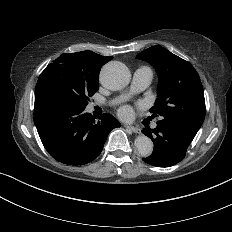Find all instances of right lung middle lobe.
Here are the masks:
<instances>
[{
	"instance_id": "dd1d6c3e",
	"label": "right lung middle lobe",
	"mask_w": 232,
	"mask_h": 232,
	"mask_svg": "<svg viewBox=\"0 0 232 232\" xmlns=\"http://www.w3.org/2000/svg\"><path fill=\"white\" fill-rule=\"evenodd\" d=\"M98 77L54 61L40 74L35 92L49 91L71 104L85 108L89 97L98 91Z\"/></svg>"
}]
</instances>
